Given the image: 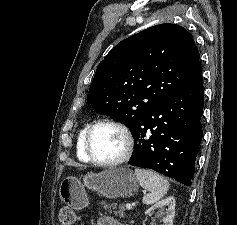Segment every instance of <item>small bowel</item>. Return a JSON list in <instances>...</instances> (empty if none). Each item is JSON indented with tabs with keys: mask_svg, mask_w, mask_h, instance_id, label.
Wrapping results in <instances>:
<instances>
[{
	"mask_svg": "<svg viewBox=\"0 0 237 225\" xmlns=\"http://www.w3.org/2000/svg\"><path fill=\"white\" fill-rule=\"evenodd\" d=\"M96 225H123V224L113 217L103 216L97 220Z\"/></svg>",
	"mask_w": 237,
	"mask_h": 225,
	"instance_id": "1",
	"label": "small bowel"
}]
</instances>
